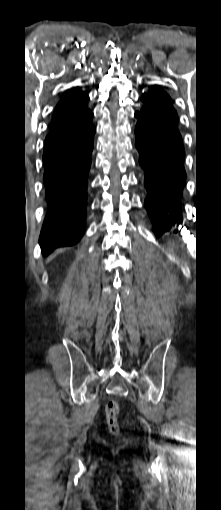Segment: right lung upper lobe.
<instances>
[{
	"instance_id": "cb5924a9",
	"label": "right lung upper lobe",
	"mask_w": 221,
	"mask_h": 510,
	"mask_svg": "<svg viewBox=\"0 0 221 510\" xmlns=\"http://www.w3.org/2000/svg\"><path fill=\"white\" fill-rule=\"evenodd\" d=\"M88 100L79 88L68 91L56 106L48 136L64 135L83 127L93 117L87 108Z\"/></svg>"
}]
</instances>
